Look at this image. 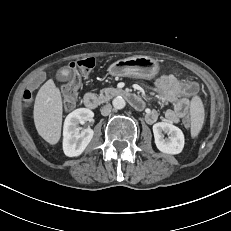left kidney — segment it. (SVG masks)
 <instances>
[{"label": "left kidney", "instance_id": "1", "mask_svg": "<svg viewBox=\"0 0 231 231\" xmlns=\"http://www.w3.org/2000/svg\"><path fill=\"white\" fill-rule=\"evenodd\" d=\"M164 133L168 138H164ZM155 144L158 150L166 154H179L184 147V134L178 127L167 122H158L153 125Z\"/></svg>", "mask_w": 231, "mask_h": 231}]
</instances>
